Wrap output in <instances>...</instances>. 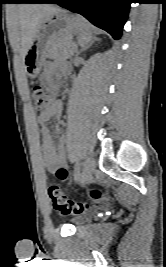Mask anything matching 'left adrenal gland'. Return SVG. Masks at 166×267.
Returning a JSON list of instances; mask_svg holds the SVG:
<instances>
[{"instance_id":"left-adrenal-gland-1","label":"left adrenal gland","mask_w":166,"mask_h":267,"mask_svg":"<svg viewBox=\"0 0 166 267\" xmlns=\"http://www.w3.org/2000/svg\"><path fill=\"white\" fill-rule=\"evenodd\" d=\"M90 46H91V44L86 46V47H83L82 49H80L79 51L76 52V55H79L81 52L87 50Z\"/></svg>"}]
</instances>
